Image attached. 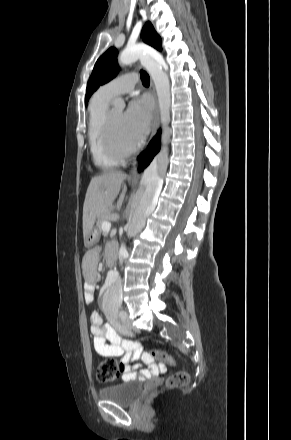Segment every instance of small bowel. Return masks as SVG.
I'll return each mask as SVG.
<instances>
[{
    "instance_id": "obj_1",
    "label": "small bowel",
    "mask_w": 291,
    "mask_h": 440,
    "mask_svg": "<svg viewBox=\"0 0 291 440\" xmlns=\"http://www.w3.org/2000/svg\"><path fill=\"white\" fill-rule=\"evenodd\" d=\"M99 264V249L87 251L82 260V270L86 279L83 300L87 305L94 299L96 283L99 280ZM91 331L94 336V348L101 357H120L119 369L125 380H145L166 372L165 364L156 363L154 359H145L137 341L123 340L113 327L103 322L97 312L91 313ZM143 365H147L148 368L140 369Z\"/></svg>"
}]
</instances>
